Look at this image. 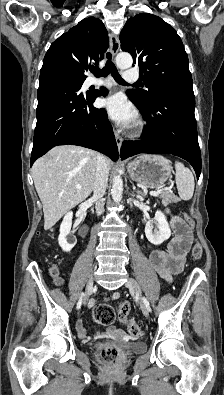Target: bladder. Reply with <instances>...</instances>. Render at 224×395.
<instances>
[{
  "mask_svg": "<svg viewBox=\"0 0 224 395\" xmlns=\"http://www.w3.org/2000/svg\"><path fill=\"white\" fill-rule=\"evenodd\" d=\"M145 344L141 342H133L130 344V347L128 348V351L133 352V353H141L145 351Z\"/></svg>",
  "mask_w": 224,
  "mask_h": 395,
  "instance_id": "obj_1",
  "label": "bladder"
}]
</instances>
